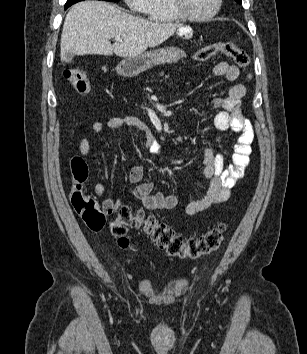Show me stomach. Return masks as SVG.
Returning <instances> with one entry per match:
<instances>
[{"instance_id":"stomach-1","label":"stomach","mask_w":307,"mask_h":354,"mask_svg":"<svg viewBox=\"0 0 307 354\" xmlns=\"http://www.w3.org/2000/svg\"><path fill=\"white\" fill-rule=\"evenodd\" d=\"M185 56V52L176 47L163 48L123 59L116 67L125 77L136 76L158 64L175 63Z\"/></svg>"}]
</instances>
